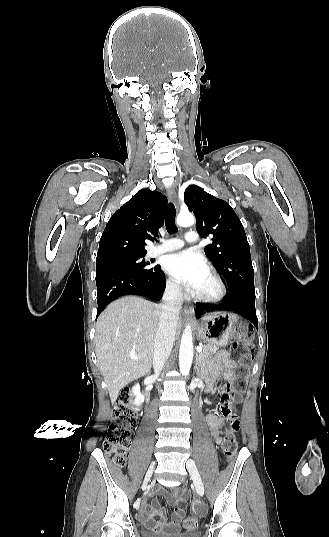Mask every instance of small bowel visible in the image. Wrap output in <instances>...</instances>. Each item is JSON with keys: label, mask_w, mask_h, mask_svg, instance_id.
I'll return each mask as SVG.
<instances>
[{"label": "small bowel", "mask_w": 329, "mask_h": 537, "mask_svg": "<svg viewBox=\"0 0 329 537\" xmlns=\"http://www.w3.org/2000/svg\"><path fill=\"white\" fill-rule=\"evenodd\" d=\"M237 364L234 360L230 359L226 353H220L215 358L214 362L209 368L208 374V386L206 388L207 393L214 392V383L222 378L225 381L223 392L234 381V371ZM207 424L209 426L211 436L220 444L222 439L219 434V429L223 423V419L208 413L206 416ZM160 494L166 498L169 504L174 506V512L170 520L167 518V512L159 507L157 500H153L150 504L144 503L141 512V520L144 525L157 532L175 533L180 530L181 522L185 516V504L187 492L182 487L174 488L172 493L160 491Z\"/></svg>", "instance_id": "c3829d8e"}]
</instances>
